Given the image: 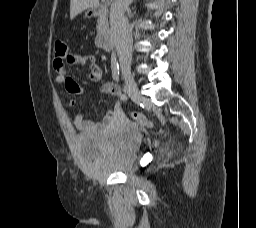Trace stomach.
I'll use <instances>...</instances> for the list:
<instances>
[{
	"instance_id": "stomach-1",
	"label": "stomach",
	"mask_w": 256,
	"mask_h": 228,
	"mask_svg": "<svg viewBox=\"0 0 256 228\" xmlns=\"http://www.w3.org/2000/svg\"><path fill=\"white\" fill-rule=\"evenodd\" d=\"M92 15L91 11L85 12V17H90Z\"/></svg>"
}]
</instances>
